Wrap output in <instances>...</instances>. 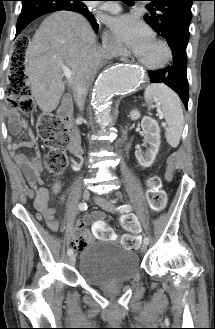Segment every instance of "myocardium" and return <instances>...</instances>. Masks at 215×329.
I'll list each match as a JSON object with an SVG mask.
<instances>
[{
  "label": "myocardium",
  "mask_w": 215,
  "mask_h": 329,
  "mask_svg": "<svg viewBox=\"0 0 215 329\" xmlns=\"http://www.w3.org/2000/svg\"><path fill=\"white\" fill-rule=\"evenodd\" d=\"M153 42L161 48V50L163 52L162 58L156 63H149V62L143 61L137 54L136 60L140 65H142L146 69L160 70V69H163L170 62V60L172 58V50H171L170 45L163 39L155 38L153 40Z\"/></svg>",
  "instance_id": "f54148a6"
}]
</instances>
